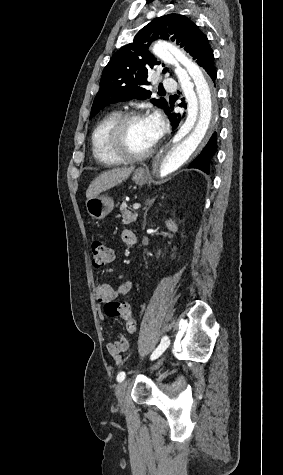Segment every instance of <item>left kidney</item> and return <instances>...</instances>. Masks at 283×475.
Returning <instances> with one entry per match:
<instances>
[{"label":"left kidney","instance_id":"1","mask_svg":"<svg viewBox=\"0 0 283 475\" xmlns=\"http://www.w3.org/2000/svg\"><path fill=\"white\" fill-rule=\"evenodd\" d=\"M165 224H166V228H168L169 232H174V234H175V232H178V226H177V224H175V222H173V220H171V218H170V220H166ZM175 249H176V247L174 245L173 251H175Z\"/></svg>","mask_w":283,"mask_h":475}]
</instances>
